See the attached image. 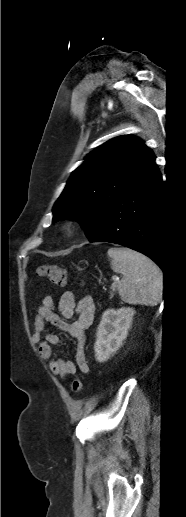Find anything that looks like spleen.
Returning a JSON list of instances; mask_svg holds the SVG:
<instances>
[{"label":"spleen","mask_w":186,"mask_h":517,"mask_svg":"<svg viewBox=\"0 0 186 517\" xmlns=\"http://www.w3.org/2000/svg\"><path fill=\"white\" fill-rule=\"evenodd\" d=\"M111 268L123 275L117 288L129 304L157 305L163 295V273L149 258L127 248H110Z\"/></svg>","instance_id":"3e777b00"}]
</instances>
